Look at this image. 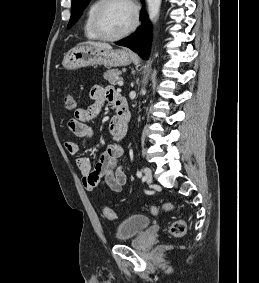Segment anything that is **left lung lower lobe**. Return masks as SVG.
<instances>
[{"instance_id":"0a47b994","label":"left lung lower lobe","mask_w":259,"mask_h":283,"mask_svg":"<svg viewBox=\"0 0 259 283\" xmlns=\"http://www.w3.org/2000/svg\"><path fill=\"white\" fill-rule=\"evenodd\" d=\"M144 6V0H141ZM150 22L146 14H142V25L128 38L118 41L116 44L120 46H126L132 51L137 53L143 59L148 58L149 43L151 39L150 35Z\"/></svg>"}]
</instances>
